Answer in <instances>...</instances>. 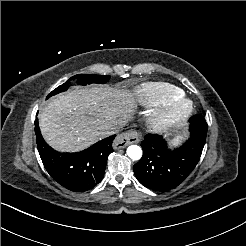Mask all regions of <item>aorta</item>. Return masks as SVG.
<instances>
[{"label":"aorta","mask_w":246,"mask_h":246,"mask_svg":"<svg viewBox=\"0 0 246 246\" xmlns=\"http://www.w3.org/2000/svg\"><path fill=\"white\" fill-rule=\"evenodd\" d=\"M127 156L132 160H139L142 157V149L138 145H131L127 148Z\"/></svg>","instance_id":"762f6f07"}]
</instances>
